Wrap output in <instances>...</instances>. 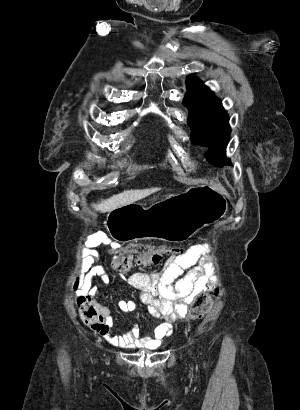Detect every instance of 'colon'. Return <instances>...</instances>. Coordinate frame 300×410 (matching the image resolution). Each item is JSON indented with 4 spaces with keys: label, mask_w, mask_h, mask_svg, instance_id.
Wrapping results in <instances>:
<instances>
[{
    "label": "colon",
    "mask_w": 300,
    "mask_h": 410,
    "mask_svg": "<svg viewBox=\"0 0 300 410\" xmlns=\"http://www.w3.org/2000/svg\"><path fill=\"white\" fill-rule=\"evenodd\" d=\"M182 249L177 247L137 248L134 254H115L112 258V267L119 273H127L133 267H150L162 264L165 256L180 254ZM218 290H215L217 293ZM212 306V296L206 292H199L190 308L186 312L187 319L194 320L204 316Z\"/></svg>",
    "instance_id": "5ec220e1"
}]
</instances>
